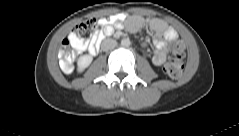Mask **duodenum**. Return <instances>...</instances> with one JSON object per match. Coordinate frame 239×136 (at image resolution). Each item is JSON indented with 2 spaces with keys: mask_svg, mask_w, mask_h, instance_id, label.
Wrapping results in <instances>:
<instances>
[{
  "mask_svg": "<svg viewBox=\"0 0 239 136\" xmlns=\"http://www.w3.org/2000/svg\"><path fill=\"white\" fill-rule=\"evenodd\" d=\"M104 38H105V35H100V36L96 39L95 43L91 46V48H90V53H91L92 55L96 54V53L99 51L100 44H101V42L103 41Z\"/></svg>",
  "mask_w": 239,
  "mask_h": 136,
  "instance_id": "obj_1",
  "label": "duodenum"
}]
</instances>
